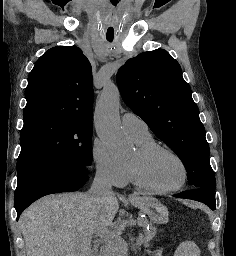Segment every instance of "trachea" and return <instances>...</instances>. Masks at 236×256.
I'll list each match as a JSON object with an SVG mask.
<instances>
[{
  "label": "trachea",
  "instance_id": "3493384b",
  "mask_svg": "<svg viewBox=\"0 0 236 256\" xmlns=\"http://www.w3.org/2000/svg\"><path fill=\"white\" fill-rule=\"evenodd\" d=\"M108 41H109V42H111L112 40H111V39H109Z\"/></svg>",
  "mask_w": 236,
  "mask_h": 256
}]
</instances>
